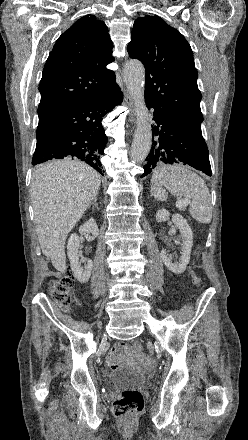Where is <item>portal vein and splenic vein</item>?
Wrapping results in <instances>:
<instances>
[{
  "instance_id": "18ae733b",
  "label": "portal vein and splenic vein",
  "mask_w": 248,
  "mask_h": 440,
  "mask_svg": "<svg viewBox=\"0 0 248 440\" xmlns=\"http://www.w3.org/2000/svg\"><path fill=\"white\" fill-rule=\"evenodd\" d=\"M186 203H187V200L180 201V202H177V203H176V206L183 207V206L186 205Z\"/></svg>"
}]
</instances>
